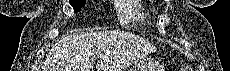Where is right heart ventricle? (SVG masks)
<instances>
[{
	"label": "right heart ventricle",
	"mask_w": 230,
	"mask_h": 71,
	"mask_svg": "<svg viewBox=\"0 0 230 71\" xmlns=\"http://www.w3.org/2000/svg\"><path fill=\"white\" fill-rule=\"evenodd\" d=\"M118 11L120 21L125 25L133 22H143L145 18L140 0L121 1Z\"/></svg>",
	"instance_id": "obj_1"
}]
</instances>
